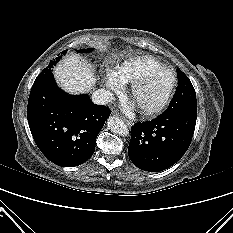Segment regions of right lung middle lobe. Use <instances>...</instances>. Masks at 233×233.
Listing matches in <instances>:
<instances>
[{
  "mask_svg": "<svg viewBox=\"0 0 233 233\" xmlns=\"http://www.w3.org/2000/svg\"><path fill=\"white\" fill-rule=\"evenodd\" d=\"M66 51L67 50L63 51L61 53V55L56 58V60H51L50 64L48 65V67L42 70V72L36 78L35 82L48 77L52 73L53 66L56 65V62H58L60 60L61 56H63L64 54H66ZM85 51L86 50L82 49V50H79L78 52L83 53ZM91 51H92V48H88L87 49V52H91Z\"/></svg>",
  "mask_w": 233,
  "mask_h": 233,
  "instance_id": "obj_1",
  "label": "right lung middle lobe"
}]
</instances>
